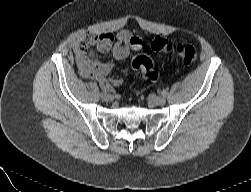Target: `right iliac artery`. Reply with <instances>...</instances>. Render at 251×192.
Returning a JSON list of instances; mask_svg holds the SVG:
<instances>
[{
	"mask_svg": "<svg viewBox=\"0 0 251 192\" xmlns=\"http://www.w3.org/2000/svg\"><path fill=\"white\" fill-rule=\"evenodd\" d=\"M107 95V90L105 89H103V92L101 93V97L102 98H104L105 96Z\"/></svg>",
	"mask_w": 251,
	"mask_h": 192,
	"instance_id": "1",
	"label": "right iliac artery"
}]
</instances>
